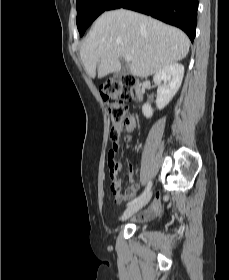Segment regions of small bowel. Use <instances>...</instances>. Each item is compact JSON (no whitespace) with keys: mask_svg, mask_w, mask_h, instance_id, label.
<instances>
[{"mask_svg":"<svg viewBox=\"0 0 229 280\" xmlns=\"http://www.w3.org/2000/svg\"><path fill=\"white\" fill-rule=\"evenodd\" d=\"M122 170V164L120 160L115 161L114 165L110 167V178H111V191L113 194V201L119 205L124 201L133 198L138 192V186L134 184L133 168L130 165L128 167V183L129 186L124 192H120V180L119 174ZM161 212V206L158 199H155L149 208L143 210L138 215V219H148L154 215H158Z\"/></svg>","mask_w":229,"mask_h":280,"instance_id":"obj_1","label":"small bowel"}]
</instances>
